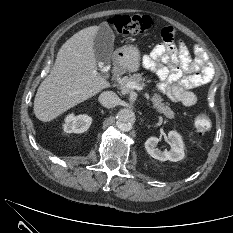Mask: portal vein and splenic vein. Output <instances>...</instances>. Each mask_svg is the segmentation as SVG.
Returning a JSON list of instances; mask_svg holds the SVG:
<instances>
[{
	"instance_id": "1",
	"label": "portal vein and splenic vein",
	"mask_w": 233,
	"mask_h": 233,
	"mask_svg": "<svg viewBox=\"0 0 233 233\" xmlns=\"http://www.w3.org/2000/svg\"><path fill=\"white\" fill-rule=\"evenodd\" d=\"M126 88L127 89L143 90V86H141L140 84H137L135 82H132V81H130L126 84ZM147 105H149V102L147 103Z\"/></svg>"
}]
</instances>
